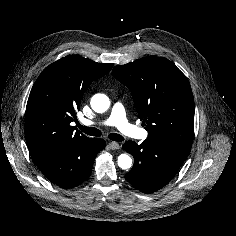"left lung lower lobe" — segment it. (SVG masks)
<instances>
[{
  "label": "left lung lower lobe",
  "instance_id": "1",
  "mask_svg": "<svg viewBox=\"0 0 236 236\" xmlns=\"http://www.w3.org/2000/svg\"><path fill=\"white\" fill-rule=\"evenodd\" d=\"M123 149L134 157V166L125 175L137 190L153 193L169 183L191 148L148 137L141 144L127 141Z\"/></svg>",
  "mask_w": 236,
  "mask_h": 236
}]
</instances>
